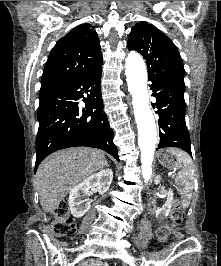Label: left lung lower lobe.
<instances>
[{
  "label": "left lung lower lobe",
  "instance_id": "1",
  "mask_svg": "<svg viewBox=\"0 0 221 266\" xmlns=\"http://www.w3.org/2000/svg\"><path fill=\"white\" fill-rule=\"evenodd\" d=\"M152 82V96L156 98L153 105L158 109L160 142L158 149L164 147H178L191 156L190 136L185 122V100L183 88L159 79Z\"/></svg>",
  "mask_w": 221,
  "mask_h": 266
}]
</instances>
